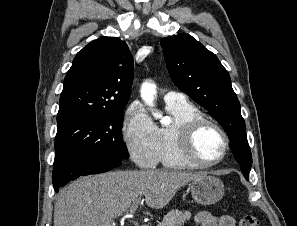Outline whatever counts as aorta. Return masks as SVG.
Segmentation results:
<instances>
[{
	"mask_svg": "<svg viewBox=\"0 0 297 226\" xmlns=\"http://www.w3.org/2000/svg\"><path fill=\"white\" fill-rule=\"evenodd\" d=\"M141 98L144 103L150 107L155 118H160V114L154 111V99L156 95V86L150 82H144L140 90Z\"/></svg>",
	"mask_w": 297,
	"mask_h": 226,
	"instance_id": "aorta-1",
	"label": "aorta"
}]
</instances>
